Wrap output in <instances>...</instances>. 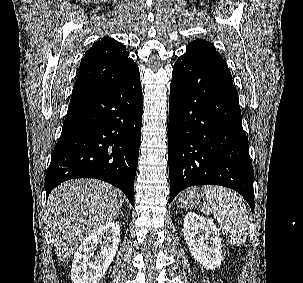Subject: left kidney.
Wrapping results in <instances>:
<instances>
[{"mask_svg": "<svg viewBox=\"0 0 303 283\" xmlns=\"http://www.w3.org/2000/svg\"><path fill=\"white\" fill-rule=\"evenodd\" d=\"M183 230L192 256L208 270L220 267L223 257L217 226L207 218L190 212L184 219Z\"/></svg>", "mask_w": 303, "mask_h": 283, "instance_id": "5707ae66", "label": "left kidney"}]
</instances>
